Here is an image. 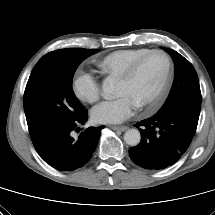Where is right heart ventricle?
<instances>
[{
	"instance_id": "1",
	"label": "right heart ventricle",
	"mask_w": 215,
	"mask_h": 215,
	"mask_svg": "<svg viewBox=\"0 0 215 215\" xmlns=\"http://www.w3.org/2000/svg\"><path fill=\"white\" fill-rule=\"evenodd\" d=\"M148 50L147 48L116 50L100 58L97 66L105 75L118 78L132 61Z\"/></svg>"
}]
</instances>
